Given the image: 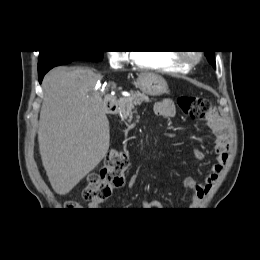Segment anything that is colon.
Returning a JSON list of instances; mask_svg holds the SVG:
<instances>
[{"instance_id":"5ec220e1","label":"colon","mask_w":260,"mask_h":260,"mask_svg":"<svg viewBox=\"0 0 260 260\" xmlns=\"http://www.w3.org/2000/svg\"><path fill=\"white\" fill-rule=\"evenodd\" d=\"M180 109L189 117L201 119L216 115L208 99L196 96H180L177 99ZM129 166L128 157L123 153H112L106 159L105 166L99 173L91 174L83 189L82 196L86 201L104 200L114 189L125 183V173ZM70 210H79L80 205L74 201L65 203Z\"/></svg>"}]
</instances>
